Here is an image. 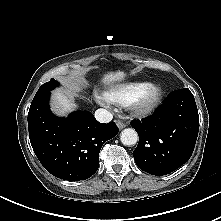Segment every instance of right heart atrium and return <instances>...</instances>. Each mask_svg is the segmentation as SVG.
I'll return each instance as SVG.
<instances>
[{
  "label": "right heart atrium",
  "mask_w": 221,
  "mask_h": 221,
  "mask_svg": "<svg viewBox=\"0 0 221 221\" xmlns=\"http://www.w3.org/2000/svg\"><path fill=\"white\" fill-rule=\"evenodd\" d=\"M96 99H97L101 104H106V99H104L103 97H100V96L96 95Z\"/></svg>",
  "instance_id": "obj_1"
}]
</instances>
